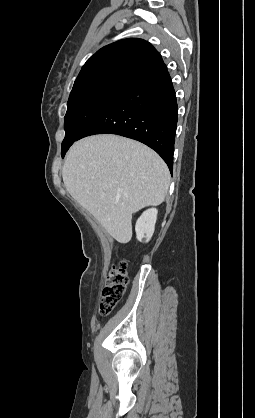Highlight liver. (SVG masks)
Segmentation results:
<instances>
[{
    "label": "liver",
    "mask_w": 255,
    "mask_h": 418,
    "mask_svg": "<svg viewBox=\"0 0 255 418\" xmlns=\"http://www.w3.org/2000/svg\"><path fill=\"white\" fill-rule=\"evenodd\" d=\"M62 177L69 194L123 244L132 238V214L161 204L170 184L168 167L157 153L112 134L74 143Z\"/></svg>",
    "instance_id": "1"
}]
</instances>
